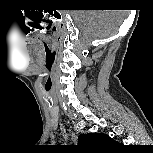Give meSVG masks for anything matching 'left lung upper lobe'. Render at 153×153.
Masks as SVG:
<instances>
[{
  "instance_id": "obj_1",
  "label": "left lung upper lobe",
  "mask_w": 153,
  "mask_h": 153,
  "mask_svg": "<svg viewBox=\"0 0 153 153\" xmlns=\"http://www.w3.org/2000/svg\"><path fill=\"white\" fill-rule=\"evenodd\" d=\"M78 145L87 149H106L119 145L108 135L98 133L81 134L78 137Z\"/></svg>"
}]
</instances>
